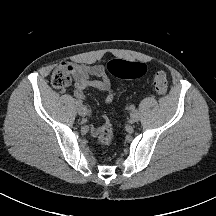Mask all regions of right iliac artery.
Segmentation results:
<instances>
[{
  "instance_id": "obj_1",
  "label": "right iliac artery",
  "mask_w": 216,
  "mask_h": 216,
  "mask_svg": "<svg viewBox=\"0 0 216 216\" xmlns=\"http://www.w3.org/2000/svg\"><path fill=\"white\" fill-rule=\"evenodd\" d=\"M76 105L77 106H81L82 105V101L81 100H76Z\"/></svg>"
}]
</instances>
